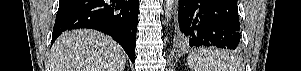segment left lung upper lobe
<instances>
[{"label": "left lung upper lobe", "instance_id": "5c2ea615", "mask_svg": "<svg viewBox=\"0 0 301 71\" xmlns=\"http://www.w3.org/2000/svg\"><path fill=\"white\" fill-rule=\"evenodd\" d=\"M178 37H179L178 39H180V35L179 34H178Z\"/></svg>", "mask_w": 301, "mask_h": 71}]
</instances>
